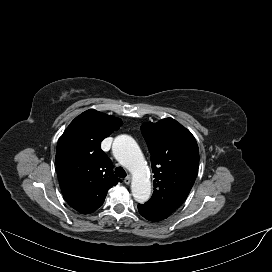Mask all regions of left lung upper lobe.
Here are the masks:
<instances>
[{"mask_svg": "<svg viewBox=\"0 0 272 272\" xmlns=\"http://www.w3.org/2000/svg\"><path fill=\"white\" fill-rule=\"evenodd\" d=\"M141 132L151 154L154 173L152 198L143 206L167 218L187 198L199 168L194 136L172 118L146 122Z\"/></svg>", "mask_w": 272, "mask_h": 272, "instance_id": "5c2ea615", "label": "left lung upper lobe"}]
</instances>
